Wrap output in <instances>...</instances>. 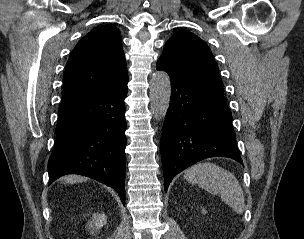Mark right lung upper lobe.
<instances>
[{
  "instance_id": "cb5924a9",
  "label": "right lung upper lobe",
  "mask_w": 304,
  "mask_h": 239,
  "mask_svg": "<svg viewBox=\"0 0 304 239\" xmlns=\"http://www.w3.org/2000/svg\"><path fill=\"white\" fill-rule=\"evenodd\" d=\"M119 33L112 25L101 26L76 45L66 64L60 108L92 96L128 74Z\"/></svg>"
}]
</instances>
